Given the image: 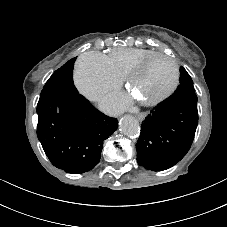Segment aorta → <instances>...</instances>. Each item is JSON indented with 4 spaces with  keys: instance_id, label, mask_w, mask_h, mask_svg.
I'll list each match as a JSON object with an SVG mask.
<instances>
[{
    "instance_id": "762f6f07",
    "label": "aorta",
    "mask_w": 227,
    "mask_h": 227,
    "mask_svg": "<svg viewBox=\"0 0 227 227\" xmlns=\"http://www.w3.org/2000/svg\"><path fill=\"white\" fill-rule=\"evenodd\" d=\"M120 131L131 138H135L140 133V126L138 120L132 115H125L121 118L119 124Z\"/></svg>"
}]
</instances>
